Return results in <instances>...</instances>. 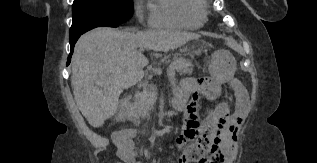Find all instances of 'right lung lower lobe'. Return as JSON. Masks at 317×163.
Listing matches in <instances>:
<instances>
[{
	"instance_id": "1",
	"label": "right lung lower lobe",
	"mask_w": 317,
	"mask_h": 163,
	"mask_svg": "<svg viewBox=\"0 0 317 163\" xmlns=\"http://www.w3.org/2000/svg\"><path fill=\"white\" fill-rule=\"evenodd\" d=\"M107 27H117V25H110V26H107ZM79 37H80V35L70 39L71 53H70V55L68 57L67 65L70 63L71 55H72L73 49H74V45H75V43H76V41L78 40Z\"/></svg>"
}]
</instances>
